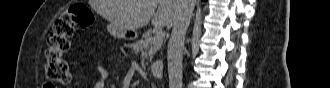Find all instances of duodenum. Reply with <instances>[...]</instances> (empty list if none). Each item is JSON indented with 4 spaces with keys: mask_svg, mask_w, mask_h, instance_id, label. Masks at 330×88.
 I'll use <instances>...</instances> for the list:
<instances>
[{
    "mask_svg": "<svg viewBox=\"0 0 330 88\" xmlns=\"http://www.w3.org/2000/svg\"><path fill=\"white\" fill-rule=\"evenodd\" d=\"M151 73L156 78H161L164 72V66L161 63L155 62L150 67Z\"/></svg>",
    "mask_w": 330,
    "mask_h": 88,
    "instance_id": "410a0bca",
    "label": "duodenum"
}]
</instances>
